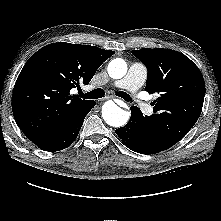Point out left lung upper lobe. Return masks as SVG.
I'll use <instances>...</instances> for the list:
<instances>
[{"instance_id":"1","label":"left lung upper lobe","mask_w":221,"mask_h":221,"mask_svg":"<svg viewBox=\"0 0 221 221\" xmlns=\"http://www.w3.org/2000/svg\"><path fill=\"white\" fill-rule=\"evenodd\" d=\"M148 70L145 91L159 94L154 114L146 125L159 142L170 148L181 140L198 120L205 95V83L198 67L185 55L171 49L143 48L132 51Z\"/></svg>"}]
</instances>
